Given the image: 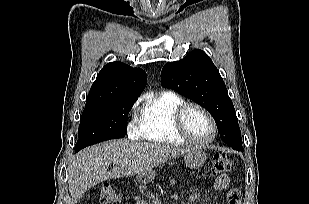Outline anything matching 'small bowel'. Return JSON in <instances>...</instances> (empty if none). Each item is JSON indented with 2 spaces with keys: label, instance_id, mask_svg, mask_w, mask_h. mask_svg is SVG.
Here are the masks:
<instances>
[{
  "label": "small bowel",
  "instance_id": "obj_1",
  "mask_svg": "<svg viewBox=\"0 0 309 204\" xmlns=\"http://www.w3.org/2000/svg\"><path fill=\"white\" fill-rule=\"evenodd\" d=\"M230 177L227 174H222L217 177L214 183V189L216 191H226V196L228 201L234 196L237 195L240 197V192L237 189L231 188L229 189ZM191 200L193 202H197L199 200V196L195 193L191 195ZM230 204V203H229Z\"/></svg>",
  "mask_w": 309,
  "mask_h": 204
}]
</instances>
